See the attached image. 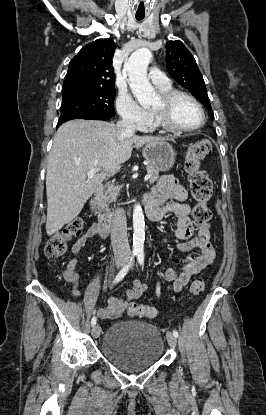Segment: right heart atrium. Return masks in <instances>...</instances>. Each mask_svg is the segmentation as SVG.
<instances>
[{
  "instance_id": "obj_1",
  "label": "right heart atrium",
  "mask_w": 266,
  "mask_h": 415,
  "mask_svg": "<svg viewBox=\"0 0 266 415\" xmlns=\"http://www.w3.org/2000/svg\"><path fill=\"white\" fill-rule=\"evenodd\" d=\"M120 117L137 128H147L152 121L150 110L141 107L128 93H120L116 99Z\"/></svg>"
}]
</instances>
